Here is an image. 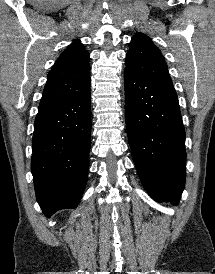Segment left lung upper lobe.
I'll use <instances>...</instances> for the list:
<instances>
[{
	"instance_id": "left-lung-upper-lobe-1",
	"label": "left lung upper lobe",
	"mask_w": 215,
	"mask_h": 274,
	"mask_svg": "<svg viewBox=\"0 0 215 274\" xmlns=\"http://www.w3.org/2000/svg\"><path fill=\"white\" fill-rule=\"evenodd\" d=\"M125 64L131 71L173 85L161 51L143 33H136L132 37Z\"/></svg>"
}]
</instances>
